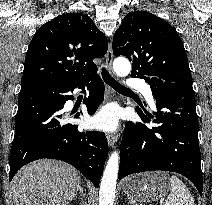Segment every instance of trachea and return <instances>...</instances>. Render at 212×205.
Here are the masks:
<instances>
[{
    "instance_id": "1",
    "label": "trachea",
    "mask_w": 212,
    "mask_h": 205,
    "mask_svg": "<svg viewBox=\"0 0 212 205\" xmlns=\"http://www.w3.org/2000/svg\"><path fill=\"white\" fill-rule=\"evenodd\" d=\"M102 77L103 80L116 91L122 93H133L130 89L124 87L123 85L118 83L115 79H113L105 68H102Z\"/></svg>"
}]
</instances>
